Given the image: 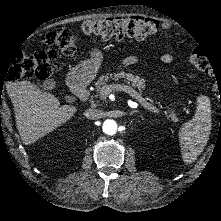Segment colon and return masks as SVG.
Masks as SVG:
<instances>
[{
    "mask_svg": "<svg viewBox=\"0 0 221 221\" xmlns=\"http://www.w3.org/2000/svg\"><path fill=\"white\" fill-rule=\"evenodd\" d=\"M83 33L98 38H121L124 35L142 38L144 35L156 31L153 21L140 15L108 16L86 19L81 24ZM42 44L45 51L35 52L33 55H19L16 57L9 71V79L19 83L31 77L48 78L59 68L54 62L58 52L70 54L73 52L77 37L65 28L46 31ZM187 61L201 72H211L212 64L202 53L194 52L187 56Z\"/></svg>",
    "mask_w": 221,
    "mask_h": 221,
    "instance_id": "5ec220e1",
    "label": "colon"
}]
</instances>
